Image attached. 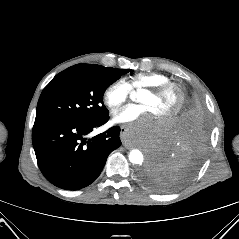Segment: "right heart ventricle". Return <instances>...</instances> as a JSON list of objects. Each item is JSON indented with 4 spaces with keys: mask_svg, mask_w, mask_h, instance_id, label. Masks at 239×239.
I'll list each match as a JSON object with an SVG mask.
<instances>
[{
    "mask_svg": "<svg viewBox=\"0 0 239 239\" xmlns=\"http://www.w3.org/2000/svg\"><path fill=\"white\" fill-rule=\"evenodd\" d=\"M170 82L168 76L152 72V73H138L130 77L127 82L131 89L141 90L147 87L158 86Z\"/></svg>",
    "mask_w": 239,
    "mask_h": 239,
    "instance_id": "1",
    "label": "right heart ventricle"
}]
</instances>
